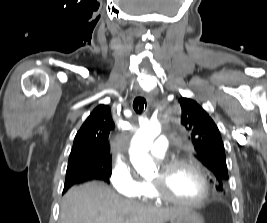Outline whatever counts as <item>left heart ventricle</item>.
<instances>
[{
  "mask_svg": "<svg viewBox=\"0 0 267 223\" xmlns=\"http://www.w3.org/2000/svg\"><path fill=\"white\" fill-rule=\"evenodd\" d=\"M159 173L154 179H157ZM166 189L174 197L183 200H197L204 193L201 177L193 168L180 166L166 178Z\"/></svg>",
  "mask_w": 267,
  "mask_h": 223,
  "instance_id": "left-heart-ventricle-1",
  "label": "left heart ventricle"
}]
</instances>
